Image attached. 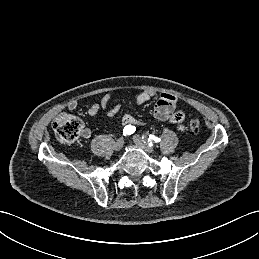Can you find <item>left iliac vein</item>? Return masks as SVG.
<instances>
[{"label": "left iliac vein", "instance_id": "left-iliac-vein-1", "mask_svg": "<svg viewBox=\"0 0 259 259\" xmlns=\"http://www.w3.org/2000/svg\"><path fill=\"white\" fill-rule=\"evenodd\" d=\"M133 141H134V143H135L136 145L145 148L146 151H148V152H150V153L153 152V149H152V147H150V146L148 145L147 140L144 139V138H142V137H140L139 135H135V136L133 137Z\"/></svg>", "mask_w": 259, "mask_h": 259}]
</instances>
